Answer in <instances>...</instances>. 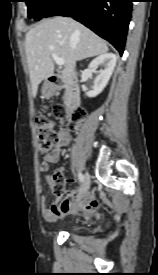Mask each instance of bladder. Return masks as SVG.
I'll use <instances>...</instances> for the list:
<instances>
[{
	"label": "bladder",
	"instance_id": "1",
	"mask_svg": "<svg viewBox=\"0 0 158 275\" xmlns=\"http://www.w3.org/2000/svg\"><path fill=\"white\" fill-rule=\"evenodd\" d=\"M65 229L69 232L75 233V232H78L81 229V227L78 223L72 222V223L67 224L65 226Z\"/></svg>",
	"mask_w": 158,
	"mask_h": 275
}]
</instances>
